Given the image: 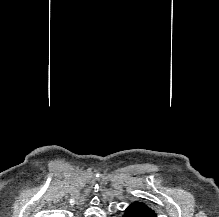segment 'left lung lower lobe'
<instances>
[{
	"label": "left lung lower lobe",
	"instance_id": "left-lung-lower-lobe-1",
	"mask_svg": "<svg viewBox=\"0 0 219 217\" xmlns=\"http://www.w3.org/2000/svg\"><path fill=\"white\" fill-rule=\"evenodd\" d=\"M124 217H157V215L135 202L125 210Z\"/></svg>",
	"mask_w": 219,
	"mask_h": 217
}]
</instances>
